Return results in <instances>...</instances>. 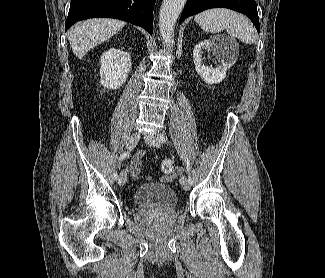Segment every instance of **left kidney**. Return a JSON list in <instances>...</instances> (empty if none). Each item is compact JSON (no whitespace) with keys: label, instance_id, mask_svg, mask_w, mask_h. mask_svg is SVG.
I'll return each instance as SVG.
<instances>
[{"label":"left kidney","instance_id":"left-kidney-1","mask_svg":"<svg viewBox=\"0 0 325 278\" xmlns=\"http://www.w3.org/2000/svg\"><path fill=\"white\" fill-rule=\"evenodd\" d=\"M203 51L212 52L222 65L217 68L205 66L202 62ZM237 54L236 47L227 38L211 37L194 47L195 69L204 82L208 84L220 83L226 77V71L236 62Z\"/></svg>","mask_w":325,"mask_h":278}]
</instances>
